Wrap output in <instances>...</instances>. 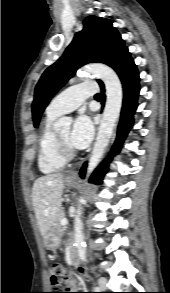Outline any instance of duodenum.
I'll list each match as a JSON object with an SVG mask.
<instances>
[{
    "instance_id": "obj_1",
    "label": "duodenum",
    "mask_w": 170,
    "mask_h": 293,
    "mask_svg": "<svg viewBox=\"0 0 170 293\" xmlns=\"http://www.w3.org/2000/svg\"><path fill=\"white\" fill-rule=\"evenodd\" d=\"M70 255H71V261H72L73 266L75 268H77V269H81L80 264H79V261L77 259V254H76V251H75V247H74L73 244L71 246V253H70Z\"/></svg>"
}]
</instances>
